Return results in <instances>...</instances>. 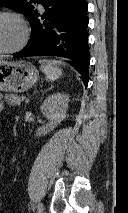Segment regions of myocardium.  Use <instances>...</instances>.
<instances>
[{"instance_id":"1","label":"myocardium","mask_w":128,"mask_h":213,"mask_svg":"<svg viewBox=\"0 0 128 213\" xmlns=\"http://www.w3.org/2000/svg\"><path fill=\"white\" fill-rule=\"evenodd\" d=\"M0 16H10L14 18L22 28V37L20 41L12 48L0 50V55L13 54L22 50L30 37V28L26 19L19 12L9 9L0 10Z\"/></svg>"}]
</instances>
